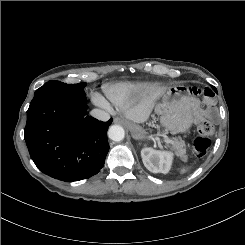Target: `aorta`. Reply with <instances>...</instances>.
I'll list each match as a JSON object with an SVG mask.
<instances>
[{"label":"aorta","mask_w":245,"mask_h":245,"mask_svg":"<svg viewBox=\"0 0 245 245\" xmlns=\"http://www.w3.org/2000/svg\"><path fill=\"white\" fill-rule=\"evenodd\" d=\"M108 136L113 141H121L125 137V131L120 125H112L108 130Z\"/></svg>","instance_id":"aorta-1"}]
</instances>
